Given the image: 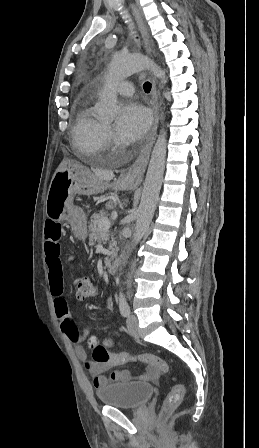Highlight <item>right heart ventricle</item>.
Here are the masks:
<instances>
[{"label":"right heart ventricle","mask_w":259,"mask_h":448,"mask_svg":"<svg viewBox=\"0 0 259 448\" xmlns=\"http://www.w3.org/2000/svg\"><path fill=\"white\" fill-rule=\"evenodd\" d=\"M91 104L90 97L79 103L72 129L75 145L83 150L77 155L80 163H100L105 151L102 141L105 125L95 117Z\"/></svg>","instance_id":"right-heart-ventricle-1"}]
</instances>
